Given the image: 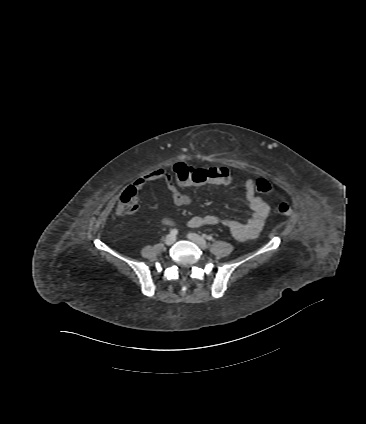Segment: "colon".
Returning a JSON list of instances; mask_svg holds the SVG:
<instances>
[{"instance_id": "1", "label": "colon", "mask_w": 366, "mask_h": 424, "mask_svg": "<svg viewBox=\"0 0 366 424\" xmlns=\"http://www.w3.org/2000/svg\"><path fill=\"white\" fill-rule=\"evenodd\" d=\"M218 167L211 168H195L185 163H177L174 166V174L176 180L181 185H204L212 183L216 178H222L223 182L230 181V172L221 170V175L217 172ZM229 174V175H227ZM256 189L261 193H270L273 190L272 185L263 178L256 180ZM135 189L129 188L125 190L117 207L119 215H130L137 210V200L135 197ZM278 212L283 216H290L292 213L291 206L287 203H281L278 206Z\"/></svg>"}]
</instances>
